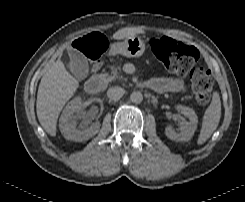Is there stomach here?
I'll return each mask as SVG.
<instances>
[{"label":"stomach","mask_w":245,"mask_h":202,"mask_svg":"<svg viewBox=\"0 0 245 202\" xmlns=\"http://www.w3.org/2000/svg\"><path fill=\"white\" fill-rule=\"evenodd\" d=\"M145 51L144 41L137 36L126 38L123 42L114 43L111 47L113 54H121L128 58H136Z\"/></svg>","instance_id":"obj_1"}]
</instances>
